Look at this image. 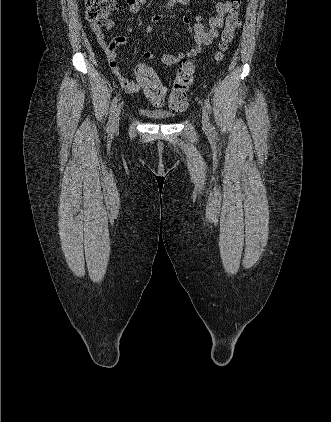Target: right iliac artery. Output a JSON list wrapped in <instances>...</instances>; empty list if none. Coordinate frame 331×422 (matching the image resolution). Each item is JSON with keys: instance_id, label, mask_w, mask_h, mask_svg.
Instances as JSON below:
<instances>
[{"instance_id": "1", "label": "right iliac artery", "mask_w": 331, "mask_h": 422, "mask_svg": "<svg viewBox=\"0 0 331 422\" xmlns=\"http://www.w3.org/2000/svg\"><path fill=\"white\" fill-rule=\"evenodd\" d=\"M117 102H118V97L116 96L112 100L111 107H110L109 121H108V125H107V129L109 131L112 130L113 119H114V114H115V109H116V106H117Z\"/></svg>"}]
</instances>
